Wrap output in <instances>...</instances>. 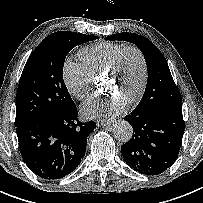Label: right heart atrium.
Returning <instances> with one entry per match:
<instances>
[{
  "mask_svg": "<svg viewBox=\"0 0 203 203\" xmlns=\"http://www.w3.org/2000/svg\"><path fill=\"white\" fill-rule=\"evenodd\" d=\"M62 77L68 92L78 100L85 99L91 92L92 76L81 62L67 58Z\"/></svg>",
  "mask_w": 203,
  "mask_h": 203,
  "instance_id": "obj_1",
  "label": "right heart atrium"
}]
</instances>
